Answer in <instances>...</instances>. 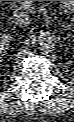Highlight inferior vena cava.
<instances>
[{
  "label": "inferior vena cava",
  "instance_id": "inferior-vena-cava-1",
  "mask_svg": "<svg viewBox=\"0 0 74 122\" xmlns=\"http://www.w3.org/2000/svg\"><path fill=\"white\" fill-rule=\"evenodd\" d=\"M10 20L13 24L19 27L29 26L31 22V18L27 14L17 11L10 16Z\"/></svg>",
  "mask_w": 74,
  "mask_h": 122
}]
</instances>
